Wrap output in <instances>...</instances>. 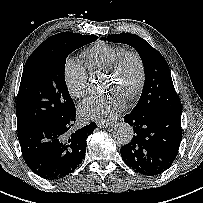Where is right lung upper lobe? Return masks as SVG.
Segmentation results:
<instances>
[{
    "instance_id": "1",
    "label": "right lung upper lobe",
    "mask_w": 203,
    "mask_h": 203,
    "mask_svg": "<svg viewBox=\"0 0 203 203\" xmlns=\"http://www.w3.org/2000/svg\"><path fill=\"white\" fill-rule=\"evenodd\" d=\"M69 33L70 32H63V33H58L56 35H53V36L49 37L48 39H46L44 42H42L38 47H44V46L50 45V44L60 40L61 38L65 37Z\"/></svg>"
}]
</instances>
